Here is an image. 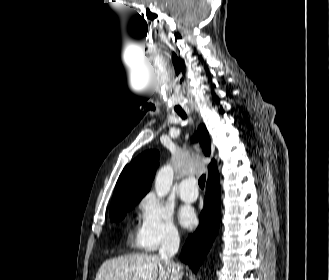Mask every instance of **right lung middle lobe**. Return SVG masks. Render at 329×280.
Listing matches in <instances>:
<instances>
[{"mask_svg": "<svg viewBox=\"0 0 329 280\" xmlns=\"http://www.w3.org/2000/svg\"><path fill=\"white\" fill-rule=\"evenodd\" d=\"M141 199L124 200L110 209V220L118 221L124 218L126 212L132 209Z\"/></svg>", "mask_w": 329, "mask_h": 280, "instance_id": "1", "label": "right lung middle lobe"}]
</instances>
